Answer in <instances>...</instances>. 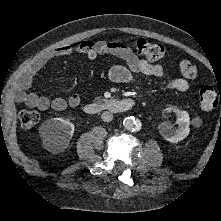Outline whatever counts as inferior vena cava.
Instances as JSON below:
<instances>
[{"mask_svg":"<svg viewBox=\"0 0 221 221\" xmlns=\"http://www.w3.org/2000/svg\"><path fill=\"white\" fill-rule=\"evenodd\" d=\"M101 118L103 121L105 122H110L112 121L113 119V114L110 113L109 111H104L102 114H101Z\"/></svg>","mask_w":221,"mask_h":221,"instance_id":"602c4592","label":"inferior vena cava"}]
</instances>
